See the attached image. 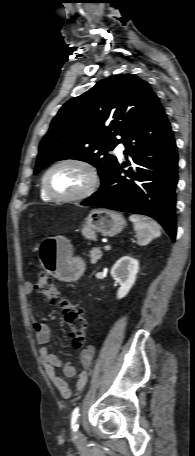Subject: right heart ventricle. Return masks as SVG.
Returning a JSON list of instances; mask_svg holds the SVG:
<instances>
[{
	"label": "right heart ventricle",
	"mask_w": 195,
	"mask_h": 456,
	"mask_svg": "<svg viewBox=\"0 0 195 456\" xmlns=\"http://www.w3.org/2000/svg\"><path fill=\"white\" fill-rule=\"evenodd\" d=\"M40 197H41V199L44 200V201H49V200H51V199L45 194V192H44V190H43V188H42V184H41V186H40Z\"/></svg>",
	"instance_id": "right-heart-ventricle-1"
}]
</instances>
